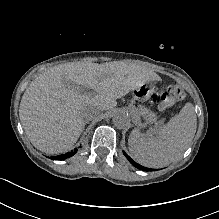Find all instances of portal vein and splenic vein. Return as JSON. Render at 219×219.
Masks as SVG:
<instances>
[{
  "label": "portal vein and splenic vein",
  "instance_id": "18ae733b",
  "mask_svg": "<svg viewBox=\"0 0 219 219\" xmlns=\"http://www.w3.org/2000/svg\"><path fill=\"white\" fill-rule=\"evenodd\" d=\"M79 89V87H75V90H78Z\"/></svg>",
  "mask_w": 219,
  "mask_h": 219
}]
</instances>
